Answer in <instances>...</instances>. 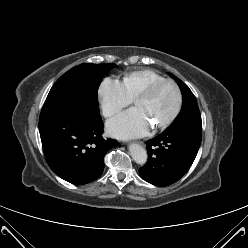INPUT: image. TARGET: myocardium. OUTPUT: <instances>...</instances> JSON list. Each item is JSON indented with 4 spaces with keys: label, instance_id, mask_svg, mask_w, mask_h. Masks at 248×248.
Segmentation results:
<instances>
[{
    "label": "myocardium",
    "instance_id": "obj_1",
    "mask_svg": "<svg viewBox=\"0 0 248 248\" xmlns=\"http://www.w3.org/2000/svg\"><path fill=\"white\" fill-rule=\"evenodd\" d=\"M164 83H168L171 84L175 90H176V94H177V104L175 107L174 112L170 115V117H168L165 121L155 124L156 128H166L169 125H171L179 116L181 109H182V104H183V96H182V92L180 87L178 86V84L169 78H162L159 79L157 81L152 82L150 85H148L143 91H141L135 98H134V103L137 104L140 101H144L146 99H148L153 92L155 91V89Z\"/></svg>",
    "mask_w": 248,
    "mask_h": 248
}]
</instances>
